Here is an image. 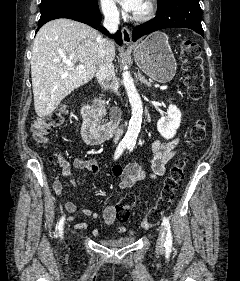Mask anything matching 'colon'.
Wrapping results in <instances>:
<instances>
[{
	"label": "colon",
	"mask_w": 240,
	"mask_h": 281,
	"mask_svg": "<svg viewBox=\"0 0 240 281\" xmlns=\"http://www.w3.org/2000/svg\"><path fill=\"white\" fill-rule=\"evenodd\" d=\"M180 61L183 70L184 84L189 98L192 101H198L204 93V64L201 57L199 45L191 40L185 39L181 45ZM65 109L59 108L45 118H38L32 125V133L35 140L40 144L48 142V136L55 128L63 125L65 118ZM206 135V122L203 118L195 121L191 128L189 143L193 144L204 139ZM185 157L177 160L166 177L163 188L156 204L146 213L141 220L143 228H149L155 225L161 215L168 209L170 202L179 182L184 177ZM132 197H127L115 205L116 219L120 222H126L130 216V207L133 205Z\"/></svg>",
	"instance_id": "obj_1"
}]
</instances>
